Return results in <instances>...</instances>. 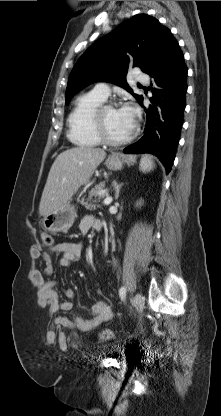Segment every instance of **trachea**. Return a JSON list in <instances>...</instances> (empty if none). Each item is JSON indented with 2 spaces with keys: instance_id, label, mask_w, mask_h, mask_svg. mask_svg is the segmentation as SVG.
Instances as JSON below:
<instances>
[{
  "instance_id": "1",
  "label": "trachea",
  "mask_w": 221,
  "mask_h": 416,
  "mask_svg": "<svg viewBox=\"0 0 221 416\" xmlns=\"http://www.w3.org/2000/svg\"><path fill=\"white\" fill-rule=\"evenodd\" d=\"M138 86L141 87L142 85L141 84H138Z\"/></svg>"
}]
</instances>
